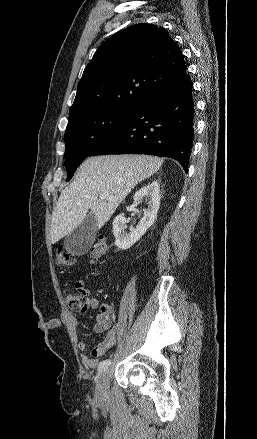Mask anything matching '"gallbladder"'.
Returning <instances> with one entry per match:
<instances>
[{
	"instance_id": "1",
	"label": "gallbladder",
	"mask_w": 257,
	"mask_h": 439,
	"mask_svg": "<svg viewBox=\"0 0 257 439\" xmlns=\"http://www.w3.org/2000/svg\"><path fill=\"white\" fill-rule=\"evenodd\" d=\"M96 231V217L89 213L84 221L66 236L64 240L65 248L76 255L86 254L93 244Z\"/></svg>"
}]
</instances>
